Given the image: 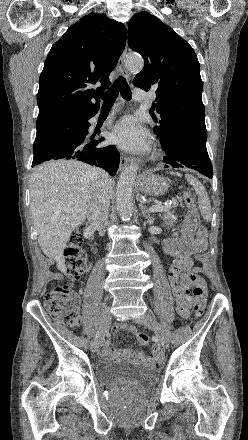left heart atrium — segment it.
I'll return each mask as SVG.
<instances>
[{
  "mask_svg": "<svg viewBox=\"0 0 248 440\" xmlns=\"http://www.w3.org/2000/svg\"><path fill=\"white\" fill-rule=\"evenodd\" d=\"M111 139L120 148L133 153L144 152L149 147L145 129L131 116L122 118L114 126Z\"/></svg>",
  "mask_w": 248,
  "mask_h": 440,
  "instance_id": "left-heart-atrium-1",
  "label": "left heart atrium"
}]
</instances>
